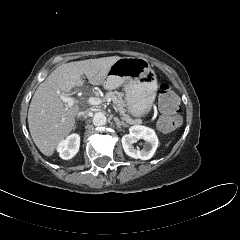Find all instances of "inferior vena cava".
I'll return each instance as SVG.
<instances>
[{"label":"inferior vena cava","mask_w":240,"mask_h":240,"mask_svg":"<svg viewBox=\"0 0 240 240\" xmlns=\"http://www.w3.org/2000/svg\"><path fill=\"white\" fill-rule=\"evenodd\" d=\"M90 113H91V111L88 110V109H86V110H84V111H80V112L78 113V117H80V118H85V117H88Z\"/></svg>","instance_id":"1"}]
</instances>
